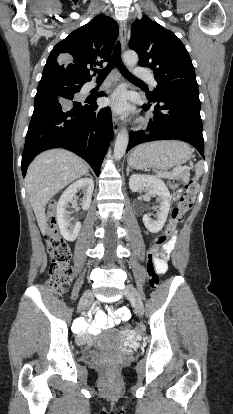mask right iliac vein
Returning a JSON list of instances; mask_svg holds the SVG:
<instances>
[{
	"instance_id": "obj_1",
	"label": "right iliac vein",
	"mask_w": 233,
	"mask_h": 414,
	"mask_svg": "<svg viewBox=\"0 0 233 414\" xmlns=\"http://www.w3.org/2000/svg\"><path fill=\"white\" fill-rule=\"evenodd\" d=\"M92 300H93L92 292L86 291L80 299L78 310L82 311L83 309H85L87 306L91 304Z\"/></svg>"
}]
</instances>
